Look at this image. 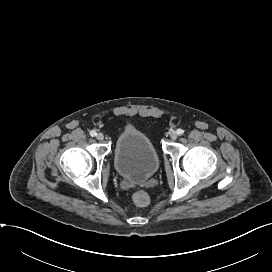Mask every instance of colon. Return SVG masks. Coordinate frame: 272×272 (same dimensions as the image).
<instances>
[{
    "label": "colon",
    "mask_w": 272,
    "mask_h": 272,
    "mask_svg": "<svg viewBox=\"0 0 272 272\" xmlns=\"http://www.w3.org/2000/svg\"><path fill=\"white\" fill-rule=\"evenodd\" d=\"M133 202L137 205V206H140V207H144V206H147L149 204V196L146 192L144 191H136L134 194H133Z\"/></svg>",
    "instance_id": "1"
}]
</instances>
